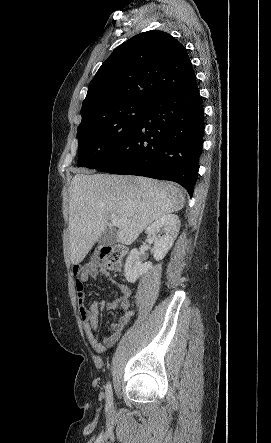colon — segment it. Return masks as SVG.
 Returning a JSON list of instances; mask_svg holds the SVG:
<instances>
[{"mask_svg": "<svg viewBox=\"0 0 271 443\" xmlns=\"http://www.w3.org/2000/svg\"><path fill=\"white\" fill-rule=\"evenodd\" d=\"M100 255L105 260L108 269L117 270L127 255V247L122 244L104 246Z\"/></svg>", "mask_w": 271, "mask_h": 443, "instance_id": "obj_1", "label": "colon"}]
</instances>
